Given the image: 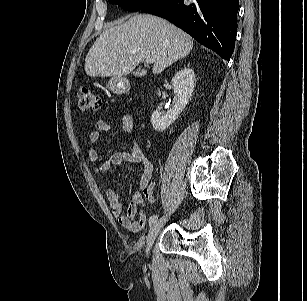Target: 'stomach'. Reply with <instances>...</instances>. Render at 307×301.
<instances>
[{
    "label": "stomach",
    "mask_w": 307,
    "mask_h": 301,
    "mask_svg": "<svg viewBox=\"0 0 307 301\" xmlns=\"http://www.w3.org/2000/svg\"><path fill=\"white\" fill-rule=\"evenodd\" d=\"M108 88L116 94H123L129 90V83L124 78L113 77L108 82Z\"/></svg>",
    "instance_id": "0dacf381"
}]
</instances>
